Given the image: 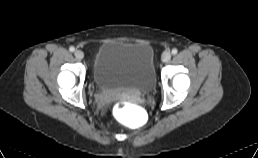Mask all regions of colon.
Wrapping results in <instances>:
<instances>
[{"mask_svg": "<svg viewBox=\"0 0 258 158\" xmlns=\"http://www.w3.org/2000/svg\"><path fill=\"white\" fill-rule=\"evenodd\" d=\"M125 107V104L122 102H117L114 105L113 111L116 115H120L122 113L123 108Z\"/></svg>", "mask_w": 258, "mask_h": 158, "instance_id": "1", "label": "colon"}]
</instances>
